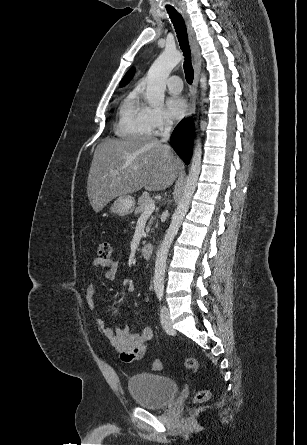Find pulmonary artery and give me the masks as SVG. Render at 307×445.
<instances>
[{"mask_svg":"<svg viewBox=\"0 0 307 445\" xmlns=\"http://www.w3.org/2000/svg\"><path fill=\"white\" fill-rule=\"evenodd\" d=\"M178 79L181 80V79H182V76H181L180 73L174 71V72L171 74V76H170V78H169V81H168V83H167V85H168V89H169L172 93H179V92H181V90H182L183 87H184V84H183L182 81H174V80H178Z\"/></svg>","mask_w":307,"mask_h":445,"instance_id":"e3ab8cb5","label":"pulmonary artery"}]
</instances>
